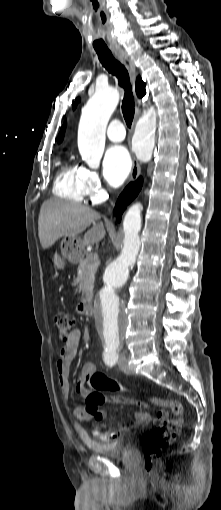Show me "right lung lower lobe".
Listing matches in <instances>:
<instances>
[{
	"instance_id": "1",
	"label": "right lung lower lobe",
	"mask_w": 221,
	"mask_h": 510,
	"mask_svg": "<svg viewBox=\"0 0 221 510\" xmlns=\"http://www.w3.org/2000/svg\"><path fill=\"white\" fill-rule=\"evenodd\" d=\"M143 180L142 178H138L135 183H131L120 195L118 201L115 206V214L117 215V221L120 222L121 214L123 210L126 208L127 204H129L139 193L142 187Z\"/></svg>"
}]
</instances>
